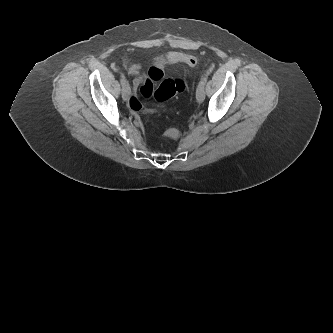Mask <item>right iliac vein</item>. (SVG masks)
<instances>
[{
  "label": "right iliac vein",
  "instance_id": "right-iliac-vein-1",
  "mask_svg": "<svg viewBox=\"0 0 333 333\" xmlns=\"http://www.w3.org/2000/svg\"><path fill=\"white\" fill-rule=\"evenodd\" d=\"M130 87L128 85L124 86L122 89V98L126 101L129 98Z\"/></svg>",
  "mask_w": 333,
  "mask_h": 333
}]
</instances>
